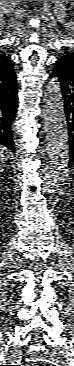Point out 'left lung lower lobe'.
Wrapping results in <instances>:
<instances>
[{
    "mask_svg": "<svg viewBox=\"0 0 74 366\" xmlns=\"http://www.w3.org/2000/svg\"><path fill=\"white\" fill-rule=\"evenodd\" d=\"M50 77L58 80L61 86L66 121L70 137V165H74V61L69 57H60Z\"/></svg>",
    "mask_w": 74,
    "mask_h": 366,
    "instance_id": "0a47b994",
    "label": "left lung lower lobe"
}]
</instances>
